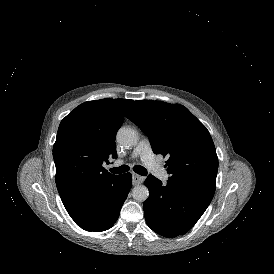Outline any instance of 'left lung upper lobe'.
Segmentation results:
<instances>
[{
    "mask_svg": "<svg viewBox=\"0 0 274 274\" xmlns=\"http://www.w3.org/2000/svg\"><path fill=\"white\" fill-rule=\"evenodd\" d=\"M126 116L148 136L156 154L167 156L170 180L215 191L218 158L213 140L186 107L138 100Z\"/></svg>",
    "mask_w": 274,
    "mask_h": 274,
    "instance_id": "1",
    "label": "left lung upper lobe"
}]
</instances>
